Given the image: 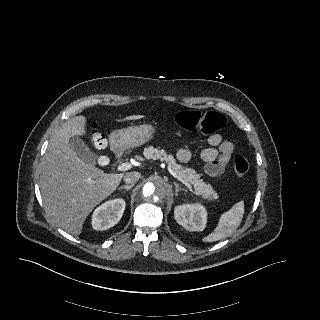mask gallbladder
<instances>
[{
	"instance_id": "1",
	"label": "gallbladder",
	"mask_w": 320,
	"mask_h": 320,
	"mask_svg": "<svg viewBox=\"0 0 320 320\" xmlns=\"http://www.w3.org/2000/svg\"><path fill=\"white\" fill-rule=\"evenodd\" d=\"M69 144L74 153L82 160L89 164H96L97 155L94 154L78 136L69 138Z\"/></svg>"
}]
</instances>
